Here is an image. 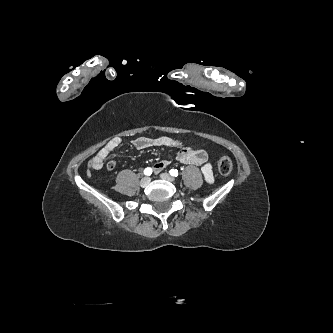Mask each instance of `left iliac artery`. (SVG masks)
Returning a JSON list of instances; mask_svg holds the SVG:
<instances>
[{"label": "left iliac artery", "instance_id": "1", "mask_svg": "<svg viewBox=\"0 0 333 333\" xmlns=\"http://www.w3.org/2000/svg\"><path fill=\"white\" fill-rule=\"evenodd\" d=\"M170 175H172L173 177H177L178 176V170L177 169H171L169 171Z\"/></svg>", "mask_w": 333, "mask_h": 333}]
</instances>
